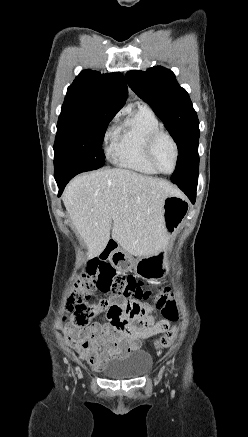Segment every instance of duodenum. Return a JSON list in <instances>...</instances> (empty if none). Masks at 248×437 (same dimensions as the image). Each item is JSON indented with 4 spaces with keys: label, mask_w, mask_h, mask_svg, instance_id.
Instances as JSON below:
<instances>
[{
    "label": "duodenum",
    "mask_w": 248,
    "mask_h": 437,
    "mask_svg": "<svg viewBox=\"0 0 248 437\" xmlns=\"http://www.w3.org/2000/svg\"><path fill=\"white\" fill-rule=\"evenodd\" d=\"M118 246V242L115 239H110L106 248H102L100 254L102 257H114Z\"/></svg>",
    "instance_id": "1"
}]
</instances>
